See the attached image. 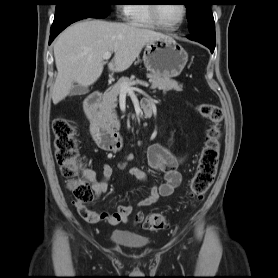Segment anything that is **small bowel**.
<instances>
[{
    "instance_id": "obj_1",
    "label": "small bowel",
    "mask_w": 278,
    "mask_h": 278,
    "mask_svg": "<svg viewBox=\"0 0 278 278\" xmlns=\"http://www.w3.org/2000/svg\"><path fill=\"white\" fill-rule=\"evenodd\" d=\"M150 166L162 174L164 182L150 186L149 194L138 201V206H149L157 202L161 197L172 195L179 187L182 176L179 166L183 161L182 157L175 156L165 146L159 143L151 145L147 152ZM113 173L112 167L105 163L102 167V178L97 180L93 172H88V178L92 182V189L96 199H99L108 190V182ZM131 176L145 182L146 175L142 169L133 166L129 169ZM78 213L83 219L90 223L107 221L111 225L126 223L132 212L131 205H120L112 212H96L88 209L85 205L74 203Z\"/></svg>"
}]
</instances>
